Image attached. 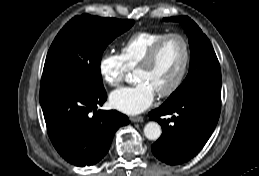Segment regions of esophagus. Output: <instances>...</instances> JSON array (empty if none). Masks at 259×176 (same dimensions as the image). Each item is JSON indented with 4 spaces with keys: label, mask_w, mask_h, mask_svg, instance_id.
Listing matches in <instances>:
<instances>
[{
    "label": "esophagus",
    "mask_w": 259,
    "mask_h": 176,
    "mask_svg": "<svg viewBox=\"0 0 259 176\" xmlns=\"http://www.w3.org/2000/svg\"><path fill=\"white\" fill-rule=\"evenodd\" d=\"M130 121L131 122H142L143 117L142 116H132V117H130Z\"/></svg>",
    "instance_id": "esophagus-1"
}]
</instances>
